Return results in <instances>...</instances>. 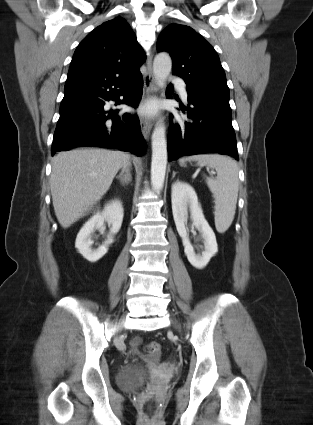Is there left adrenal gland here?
<instances>
[{"label": "left adrenal gland", "mask_w": 313, "mask_h": 425, "mask_svg": "<svg viewBox=\"0 0 313 425\" xmlns=\"http://www.w3.org/2000/svg\"><path fill=\"white\" fill-rule=\"evenodd\" d=\"M175 175H176V172H175V171H173L172 179L175 177Z\"/></svg>", "instance_id": "obj_1"}]
</instances>
